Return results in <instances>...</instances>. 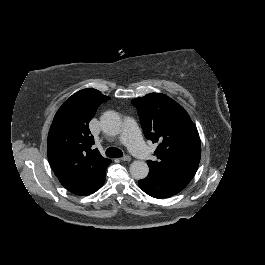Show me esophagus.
<instances>
[{
  "mask_svg": "<svg viewBox=\"0 0 265 265\" xmlns=\"http://www.w3.org/2000/svg\"><path fill=\"white\" fill-rule=\"evenodd\" d=\"M121 161H131V157L128 155H125L123 157L120 158Z\"/></svg>",
  "mask_w": 265,
  "mask_h": 265,
  "instance_id": "1",
  "label": "esophagus"
}]
</instances>
